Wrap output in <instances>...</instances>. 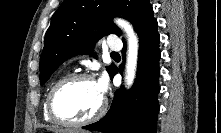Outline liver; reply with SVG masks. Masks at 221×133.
<instances>
[{
  "label": "liver",
  "instance_id": "1",
  "mask_svg": "<svg viewBox=\"0 0 221 133\" xmlns=\"http://www.w3.org/2000/svg\"><path fill=\"white\" fill-rule=\"evenodd\" d=\"M56 133H74L75 131L74 130H70V129H66V130H56L55 131Z\"/></svg>",
  "mask_w": 221,
  "mask_h": 133
}]
</instances>
